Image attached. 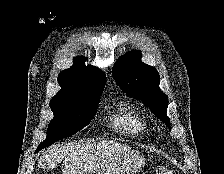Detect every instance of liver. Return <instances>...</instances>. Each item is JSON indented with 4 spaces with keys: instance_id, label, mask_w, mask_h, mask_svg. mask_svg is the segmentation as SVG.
Masks as SVG:
<instances>
[{
    "instance_id": "liver-1",
    "label": "liver",
    "mask_w": 224,
    "mask_h": 174,
    "mask_svg": "<svg viewBox=\"0 0 224 174\" xmlns=\"http://www.w3.org/2000/svg\"><path fill=\"white\" fill-rule=\"evenodd\" d=\"M129 152V146L105 140L97 143L53 145L40 157L38 167L51 170L63 161V174H85L103 168Z\"/></svg>"
}]
</instances>
